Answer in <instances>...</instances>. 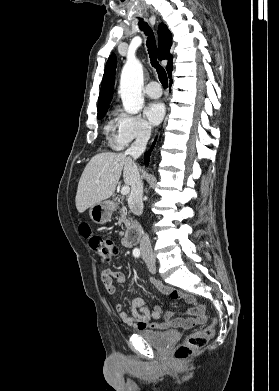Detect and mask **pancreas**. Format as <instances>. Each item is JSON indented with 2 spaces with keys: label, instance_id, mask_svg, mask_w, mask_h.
Segmentation results:
<instances>
[{
  "label": "pancreas",
  "instance_id": "1",
  "mask_svg": "<svg viewBox=\"0 0 279 391\" xmlns=\"http://www.w3.org/2000/svg\"><path fill=\"white\" fill-rule=\"evenodd\" d=\"M127 211H125V209L124 208H122L121 210H120V215H121V217L119 218V221H118V223L119 224H121V223H124L125 224V226H129L130 225V221H129V219L127 218Z\"/></svg>",
  "mask_w": 279,
  "mask_h": 391
}]
</instances>
